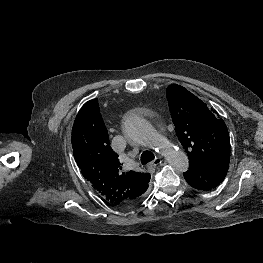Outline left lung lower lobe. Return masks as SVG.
<instances>
[{"instance_id": "left-lung-lower-lobe-1", "label": "left lung lower lobe", "mask_w": 263, "mask_h": 263, "mask_svg": "<svg viewBox=\"0 0 263 263\" xmlns=\"http://www.w3.org/2000/svg\"><path fill=\"white\" fill-rule=\"evenodd\" d=\"M229 166L200 167L189 165L184 178L190 186L199 190H211L217 187L225 178Z\"/></svg>"}]
</instances>
